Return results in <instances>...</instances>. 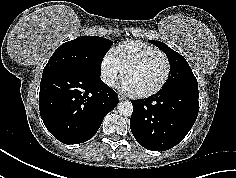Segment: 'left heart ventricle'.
Segmentation results:
<instances>
[{
	"instance_id": "b2bd125f",
	"label": "left heart ventricle",
	"mask_w": 236,
	"mask_h": 178,
	"mask_svg": "<svg viewBox=\"0 0 236 178\" xmlns=\"http://www.w3.org/2000/svg\"><path fill=\"white\" fill-rule=\"evenodd\" d=\"M166 73V63L163 58L152 59L130 71L124 82L133 92H144L156 87Z\"/></svg>"
}]
</instances>
